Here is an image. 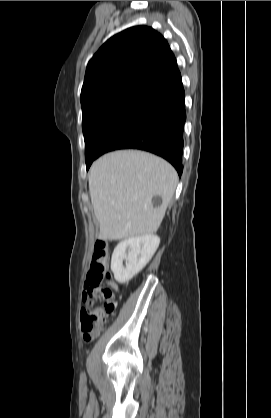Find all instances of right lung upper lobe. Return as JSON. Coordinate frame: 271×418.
I'll return each mask as SVG.
<instances>
[{
    "label": "right lung upper lobe",
    "instance_id": "right-lung-upper-lobe-1",
    "mask_svg": "<svg viewBox=\"0 0 271 418\" xmlns=\"http://www.w3.org/2000/svg\"><path fill=\"white\" fill-rule=\"evenodd\" d=\"M180 81L164 37L147 26L131 27L111 37L89 61L81 106L125 94L153 101Z\"/></svg>",
    "mask_w": 271,
    "mask_h": 418
}]
</instances>
